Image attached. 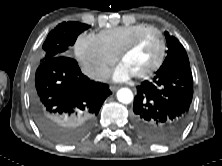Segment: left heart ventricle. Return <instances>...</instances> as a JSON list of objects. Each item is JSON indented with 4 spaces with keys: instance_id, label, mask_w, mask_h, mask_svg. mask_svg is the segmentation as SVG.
<instances>
[{
    "instance_id": "1",
    "label": "left heart ventricle",
    "mask_w": 222,
    "mask_h": 166,
    "mask_svg": "<svg viewBox=\"0 0 222 166\" xmlns=\"http://www.w3.org/2000/svg\"><path fill=\"white\" fill-rule=\"evenodd\" d=\"M159 53L160 40L156 34L150 33L122 60V63L133 74H138L152 67Z\"/></svg>"
}]
</instances>
